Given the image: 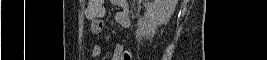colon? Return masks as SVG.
Instances as JSON below:
<instances>
[{
    "instance_id": "colon-1",
    "label": "colon",
    "mask_w": 267,
    "mask_h": 60,
    "mask_svg": "<svg viewBox=\"0 0 267 60\" xmlns=\"http://www.w3.org/2000/svg\"><path fill=\"white\" fill-rule=\"evenodd\" d=\"M91 15L93 17L99 15L104 7L105 1L104 0H89Z\"/></svg>"
}]
</instances>
